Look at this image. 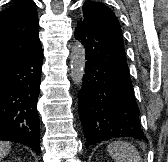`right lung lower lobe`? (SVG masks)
Listing matches in <instances>:
<instances>
[{"instance_id": "obj_1", "label": "right lung lower lobe", "mask_w": 168, "mask_h": 162, "mask_svg": "<svg viewBox=\"0 0 168 162\" xmlns=\"http://www.w3.org/2000/svg\"><path fill=\"white\" fill-rule=\"evenodd\" d=\"M42 49L0 68V140L18 142L40 152L37 100Z\"/></svg>"}]
</instances>
